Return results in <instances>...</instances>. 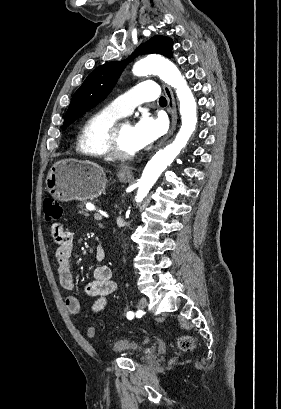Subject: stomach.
<instances>
[{"label": "stomach", "instance_id": "stomach-1", "mask_svg": "<svg viewBox=\"0 0 281 409\" xmlns=\"http://www.w3.org/2000/svg\"><path fill=\"white\" fill-rule=\"evenodd\" d=\"M121 182L130 176L119 172ZM107 184L104 168L92 160L62 158L51 166L46 188L57 200H92L104 192Z\"/></svg>", "mask_w": 281, "mask_h": 409}]
</instances>
